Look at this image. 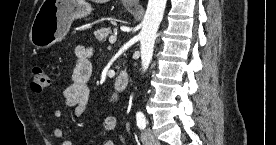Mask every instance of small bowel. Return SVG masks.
<instances>
[{"mask_svg":"<svg viewBox=\"0 0 276 145\" xmlns=\"http://www.w3.org/2000/svg\"><path fill=\"white\" fill-rule=\"evenodd\" d=\"M77 59L72 72V83L64 90L63 100L60 108L54 111V117L61 119L63 116V108H71L75 118H81L87 111L90 91L88 81L92 74V64L90 62V52L82 47L76 50ZM118 99L117 94L113 93L110 97L111 102ZM105 129L108 131H116L118 129V121L114 116H108L104 121ZM56 139H64L65 131L61 127H56L53 131ZM121 145L125 144L123 136L119 137ZM63 145H72L71 141L63 140ZM104 145H114L108 140Z\"/></svg>","mask_w":276,"mask_h":145,"instance_id":"small-bowel-1","label":"small bowel"}]
</instances>
